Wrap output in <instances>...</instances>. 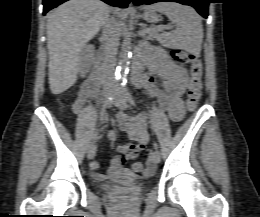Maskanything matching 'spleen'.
Wrapping results in <instances>:
<instances>
[{
	"instance_id": "spleen-1",
	"label": "spleen",
	"mask_w": 260,
	"mask_h": 217,
	"mask_svg": "<svg viewBox=\"0 0 260 217\" xmlns=\"http://www.w3.org/2000/svg\"><path fill=\"white\" fill-rule=\"evenodd\" d=\"M164 13L176 25V29L159 36L160 43L169 48L199 53L203 40V27L196 11L179 3H157L151 6Z\"/></svg>"
}]
</instances>
